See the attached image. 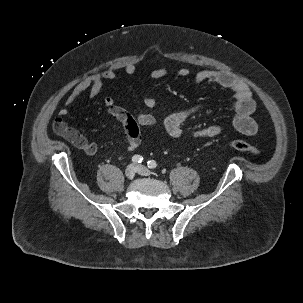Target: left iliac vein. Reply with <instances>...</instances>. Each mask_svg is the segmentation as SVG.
<instances>
[{"mask_svg": "<svg viewBox=\"0 0 303 303\" xmlns=\"http://www.w3.org/2000/svg\"><path fill=\"white\" fill-rule=\"evenodd\" d=\"M136 172L143 176H151V174H152L151 171L143 165H137Z\"/></svg>", "mask_w": 303, "mask_h": 303, "instance_id": "1", "label": "left iliac vein"}]
</instances>
